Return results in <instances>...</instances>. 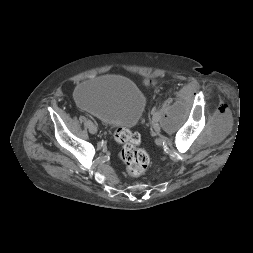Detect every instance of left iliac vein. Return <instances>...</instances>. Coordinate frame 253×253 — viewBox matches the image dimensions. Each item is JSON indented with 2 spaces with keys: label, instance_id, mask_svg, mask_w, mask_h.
Wrapping results in <instances>:
<instances>
[{
  "label": "left iliac vein",
  "instance_id": "4c4485c4",
  "mask_svg": "<svg viewBox=\"0 0 253 253\" xmlns=\"http://www.w3.org/2000/svg\"><path fill=\"white\" fill-rule=\"evenodd\" d=\"M153 128H154V131L157 133L161 131V126L158 124V122H155Z\"/></svg>",
  "mask_w": 253,
  "mask_h": 253
}]
</instances>
